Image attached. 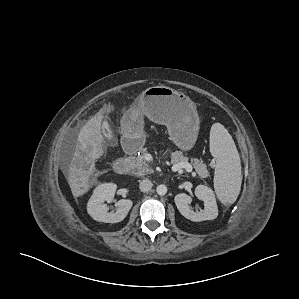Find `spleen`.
I'll use <instances>...</instances> for the list:
<instances>
[{"label": "spleen", "mask_w": 299, "mask_h": 299, "mask_svg": "<svg viewBox=\"0 0 299 299\" xmlns=\"http://www.w3.org/2000/svg\"><path fill=\"white\" fill-rule=\"evenodd\" d=\"M210 152L216 161L215 193L223 204H233L241 189V161L232 136L220 123L211 127Z\"/></svg>", "instance_id": "spleen-1"}]
</instances>
